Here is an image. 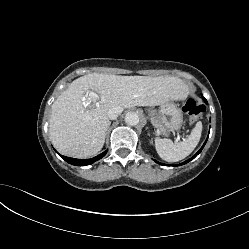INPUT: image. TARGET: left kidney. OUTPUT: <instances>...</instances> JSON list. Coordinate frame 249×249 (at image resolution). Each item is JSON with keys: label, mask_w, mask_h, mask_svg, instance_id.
Returning <instances> with one entry per match:
<instances>
[{"label": "left kidney", "mask_w": 249, "mask_h": 249, "mask_svg": "<svg viewBox=\"0 0 249 249\" xmlns=\"http://www.w3.org/2000/svg\"><path fill=\"white\" fill-rule=\"evenodd\" d=\"M149 145H152L153 144V141L152 140H149V143H148Z\"/></svg>", "instance_id": "1"}]
</instances>
